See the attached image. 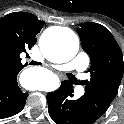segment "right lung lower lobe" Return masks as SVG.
<instances>
[{
  "label": "right lung lower lobe",
  "instance_id": "1",
  "mask_svg": "<svg viewBox=\"0 0 124 124\" xmlns=\"http://www.w3.org/2000/svg\"><path fill=\"white\" fill-rule=\"evenodd\" d=\"M28 93H23L17 84V74L0 76V119L16 115L25 106Z\"/></svg>",
  "mask_w": 124,
  "mask_h": 124
}]
</instances>
